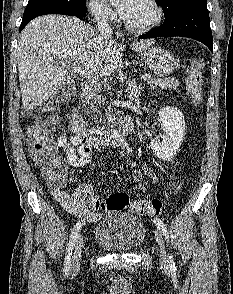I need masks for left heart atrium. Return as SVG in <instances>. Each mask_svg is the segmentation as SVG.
Instances as JSON below:
<instances>
[{
  "label": "left heart atrium",
  "mask_w": 233,
  "mask_h": 294,
  "mask_svg": "<svg viewBox=\"0 0 233 294\" xmlns=\"http://www.w3.org/2000/svg\"><path fill=\"white\" fill-rule=\"evenodd\" d=\"M139 0H119L118 11L123 18H126L135 8Z\"/></svg>",
  "instance_id": "left-heart-atrium-1"
}]
</instances>
